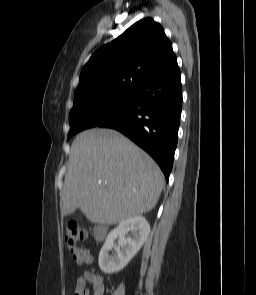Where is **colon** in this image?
<instances>
[{
  "label": "colon",
  "mask_w": 256,
  "mask_h": 295,
  "mask_svg": "<svg viewBox=\"0 0 256 295\" xmlns=\"http://www.w3.org/2000/svg\"><path fill=\"white\" fill-rule=\"evenodd\" d=\"M86 237V232L75 222H68L65 226V243L72 252L75 261L79 264L89 263L90 256L81 246ZM74 295H82L81 292H75Z\"/></svg>",
  "instance_id": "5ec220e1"
}]
</instances>
